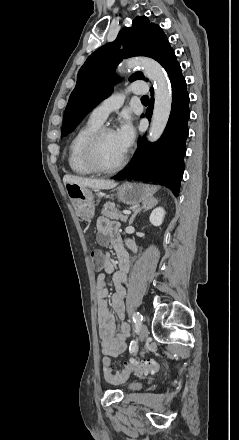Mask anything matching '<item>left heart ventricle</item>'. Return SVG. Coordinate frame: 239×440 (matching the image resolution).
Returning a JSON list of instances; mask_svg holds the SVG:
<instances>
[{
	"label": "left heart ventricle",
	"instance_id": "b2bd125f",
	"mask_svg": "<svg viewBox=\"0 0 239 440\" xmlns=\"http://www.w3.org/2000/svg\"><path fill=\"white\" fill-rule=\"evenodd\" d=\"M125 154L115 132L106 133L100 140L98 146V159L105 167H113Z\"/></svg>",
	"mask_w": 239,
	"mask_h": 440
}]
</instances>
